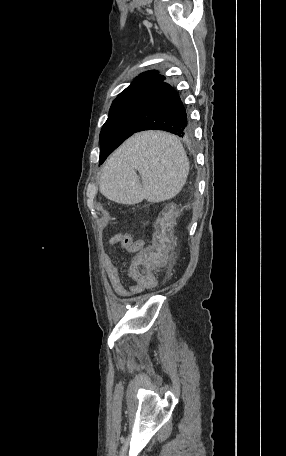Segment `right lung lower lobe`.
<instances>
[{
    "label": "right lung lower lobe",
    "instance_id": "1",
    "mask_svg": "<svg viewBox=\"0 0 286 456\" xmlns=\"http://www.w3.org/2000/svg\"><path fill=\"white\" fill-rule=\"evenodd\" d=\"M131 133L161 129L186 137L191 124L178 93L164 81L130 92L122 98Z\"/></svg>",
    "mask_w": 286,
    "mask_h": 456
}]
</instances>
